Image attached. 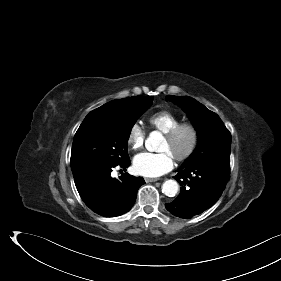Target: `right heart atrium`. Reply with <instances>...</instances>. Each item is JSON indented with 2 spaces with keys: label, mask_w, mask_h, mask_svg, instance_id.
<instances>
[{
  "label": "right heart atrium",
  "mask_w": 281,
  "mask_h": 281,
  "mask_svg": "<svg viewBox=\"0 0 281 281\" xmlns=\"http://www.w3.org/2000/svg\"><path fill=\"white\" fill-rule=\"evenodd\" d=\"M145 140V130L139 123H134L127 135V144L132 150H139L142 148Z\"/></svg>",
  "instance_id": "obj_1"
}]
</instances>
